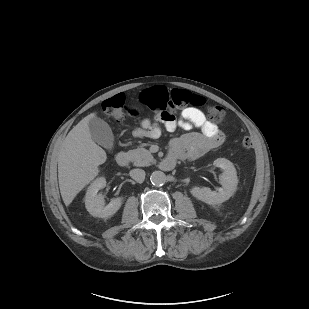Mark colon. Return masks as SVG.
I'll list each match as a JSON object with an SVG mask.
<instances>
[{"mask_svg":"<svg viewBox=\"0 0 309 309\" xmlns=\"http://www.w3.org/2000/svg\"><path fill=\"white\" fill-rule=\"evenodd\" d=\"M142 103L147 105L152 111L157 113V120L168 119L171 110L184 108L187 106L204 107L209 111L210 117L215 122L226 124V117L223 108L207 104L206 99L199 95L183 89H168L165 86L150 88L142 94ZM102 110L110 118L117 122L125 120L128 116L136 115L137 109L125 103L123 94H116L102 103ZM252 139L245 135L241 140V145L245 150L252 147Z\"/></svg>","mask_w":309,"mask_h":309,"instance_id":"colon-1","label":"colon"}]
</instances>
